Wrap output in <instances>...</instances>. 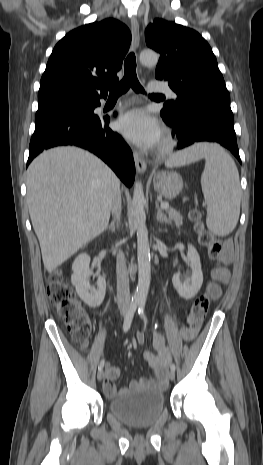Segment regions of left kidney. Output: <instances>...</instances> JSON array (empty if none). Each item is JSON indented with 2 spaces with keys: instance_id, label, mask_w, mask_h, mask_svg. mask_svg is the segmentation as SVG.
Returning a JSON list of instances; mask_svg holds the SVG:
<instances>
[{
  "instance_id": "obj_1",
  "label": "left kidney",
  "mask_w": 263,
  "mask_h": 465,
  "mask_svg": "<svg viewBox=\"0 0 263 465\" xmlns=\"http://www.w3.org/2000/svg\"><path fill=\"white\" fill-rule=\"evenodd\" d=\"M187 258L192 269L191 278L182 281L180 279V273L178 272L174 274L172 282L174 288L182 298L191 299L198 293L203 283L200 256L195 247L191 244H188Z\"/></svg>"
}]
</instances>
